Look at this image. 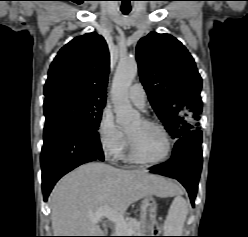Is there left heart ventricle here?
<instances>
[{
  "label": "left heart ventricle",
  "mask_w": 248,
  "mask_h": 237,
  "mask_svg": "<svg viewBox=\"0 0 248 237\" xmlns=\"http://www.w3.org/2000/svg\"><path fill=\"white\" fill-rule=\"evenodd\" d=\"M138 152L147 159H158L166 152L164 136L154 127L147 126L138 120L128 130Z\"/></svg>",
  "instance_id": "b2bd125f"
}]
</instances>
